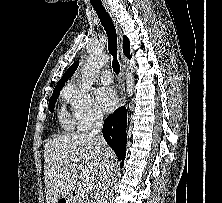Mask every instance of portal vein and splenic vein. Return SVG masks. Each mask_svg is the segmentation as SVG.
Returning <instances> with one entry per match:
<instances>
[{"label": "portal vein and splenic vein", "instance_id": "obj_1", "mask_svg": "<svg viewBox=\"0 0 222 203\" xmlns=\"http://www.w3.org/2000/svg\"><path fill=\"white\" fill-rule=\"evenodd\" d=\"M77 169H80V166ZM82 187L84 188V190L88 191L92 188V184L87 181H82Z\"/></svg>", "mask_w": 222, "mask_h": 203}]
</instances>
